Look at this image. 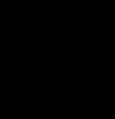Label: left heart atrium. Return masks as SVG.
I'll use <instances>...</instances> for the list:
<instances>
[{
  "instance_id": "39dd6f15",
  "label": "left heart atrium",
  "mask_w": 115,
  "mask_h": 119,
  "mask_svg": "<svg viewBox=\"0 0 115 119\" xmlns=\"http://www.w3.org/2000/svg\"><path fill=\"white\" fill-rule=\"evenodd\" d=\"M79 53H80L79 50H72L71 52L68 53V56L71 58H77Z\"/></svg>"
}]
</instances>
